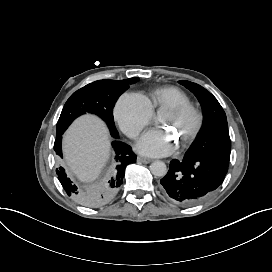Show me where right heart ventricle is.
<instances>
[{"label": "right heart ventricle", "mask_w": 272, "mask_h": 272, "mask_svg": "<svg viewBox=\"0 0 272 272\" xmlns=\"http://www.w3.org/2000/svg\"><path fill=\"white\" fill-rule=\"evenodd\" d=\"M149 102L152 107L165 110L172 104H189L186 95L174 87L154 91L149 96Z\"/></svg>", "instance_id": "e07e8e85"}]
</instances>
